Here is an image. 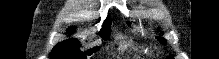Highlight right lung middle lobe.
Wrapping results in <instances>:
<instances>
[{
    "label": "right lung middle lobe",
    "mask_w": 219,
    "mask_h": 59,
    "mask_svg": "<svg viewBox=\"0 0 219 59\" xmlns=\"http://www.w3.org/2000/svg\"><path fill=\"white\" fill-rule=\"evenodd\" d=\"M110 27L102 29L99 33L102 38L107 40L110 34ZM71 33V30H68ZM98 50V47L88 50L83 53L79 50V42L76 39H69L64 42L58 43L52 50L51 59H87L86 55H92Z\"/></svg>",
    "instance_id": "dd1d6c3e"
}]
</instances>
